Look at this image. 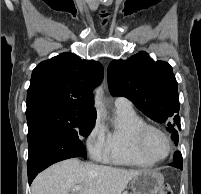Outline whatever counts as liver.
I'll return each mask as SVG.
<instances>
[{"instance_id":"1","label":"liver","mask_w":201,"mask_h":194,"mask_svg":"<svg viewBox=\"0 0 201 194\" xmlns=\"http://www.w3.org/2000/svg\"><path fill=\"white\" fill-rule=\"evenodd\" d=\"M141 172L69 159L40 173L31 191L32 194H69L73 187L82 186L78 194H121Z\"/></svg>"}]
</instances>
